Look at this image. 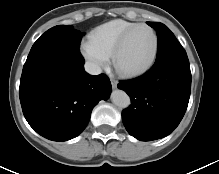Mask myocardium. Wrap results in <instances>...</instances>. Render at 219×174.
<instances>
[{
    "label": "myocardium",
    "instance_id": "myocardium-1",
    "mask_svg": "<svg viewBox=\"0 0 219 174\" xmlns=\"http://www.w3.org/2000/svg\"><path fill=\"white\" fill-rule=\"evenodd\" d=\"M140 28H147L149 29L154 37V50H153V54L152 57L150 59V61L143 67L136 69V70H123L119 67L118 65V59L119 56L121 55V53L123 52L129 38L131 37V35L138 29ZM158 50H159V38L157 35V32L155 31V29L148 25V24H138L135 27L131 28L130 30H128L119 40L118 44L116 45L113 54H112V61H113V65L115 70L117 71L118 74H120L122 77L125 78H133V77H137L140 76L144 73H146L147 71H149L152 66L154 65L157 56H158Z\"/></svg>",
    "mask_w": 219,
    "mask_h": 174
}]
</instances>
